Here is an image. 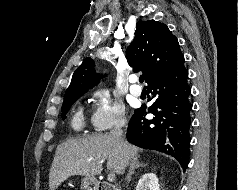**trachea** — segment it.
Masks as SVG:
<instances>
[{"label":"trachea","instance_id":"3493384b","mask_svg":"<svg viewBox=\"0 0 238 190\" xmlns=\"http://www.w3.org/2000/svg\"><path fill=\"white\" fill-rule=\"evenodd\" d=\"M139 81H140V83L144 82V77L142 75L139 77Z\"/></svg>","mask_w":238,"mask_h":190}]
</instances>
